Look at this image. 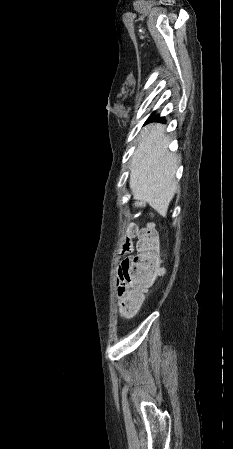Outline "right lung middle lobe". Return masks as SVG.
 <instances>
[{
    "mask_svg": "<svg viewBox=\"0 0 233 449\" xmlns=\"http://www.w3.org/2000/svg\"><path fill=\"white\" fill-rule=\"evenodd\" d=\"M153 115H154V113L151 114V116L149 117L148 120H150L151 118H153ZM148 120H147V121H148Z\"/></svg>",
    "mask_w": 233,
    "mask_h": 449,
    "instance_id": "dd1d6c3e",
    "label": "right lung middle lobe"
}]
</instances>
